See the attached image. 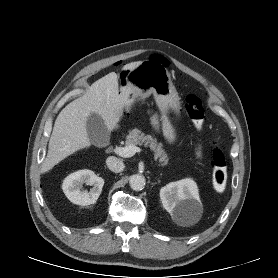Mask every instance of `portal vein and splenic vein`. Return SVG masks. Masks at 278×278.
I'll use <instances>...</instances> for the list:
<instances>
[{
  "instance_id": "18ae733b",
  "label": "portal vein and splenic vein",
  "mask_w": 278,
  "mask_h": 278,
  "mask_svg": "<svg viewBox=\"0 0 278 278\" xmlns=\"http://www.w3.org/2000/svg\"><path fill=\"white\" fill-rule=\"evenodd\" d=\"M141 149L134 145H129L125 147H116L114 149V152L124 158H129L135 155L136 152H140Z\"/></svg>"
}]
</instances>
